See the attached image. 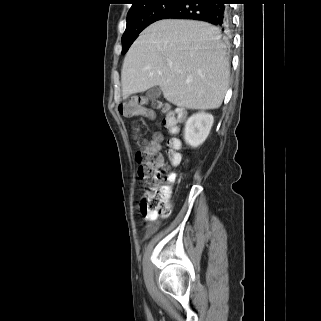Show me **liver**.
I'll return each instance as SVG.
<instances>
[{
  "mask_svg": "<svg viewBox=\"0 0 321 321\" xmlns=\"http://www.w3.org/2000/svg\"><path fill=\"white\" fill-rule=\"evenodd\" d=\"M229 61L219 30L204 22L165 19L148 26L128 50L122 67V95L159 86L170 103L186 109L221 106Z\"/></svg>",
  "mask_w": 321,
  "mask_h": 321,
  "instance_id": "6515ba94",
  "label": "liver"
}]
</instances>
